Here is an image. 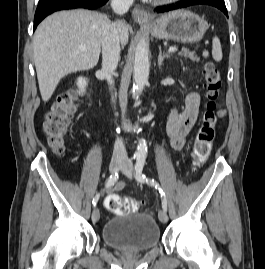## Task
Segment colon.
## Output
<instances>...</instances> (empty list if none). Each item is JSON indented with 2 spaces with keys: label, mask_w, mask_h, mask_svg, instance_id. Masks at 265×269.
I'll return each mask as SVG.
<instances>
[{
  "label": "colon",
  "mask_w": 265,
  "mask_h": 269,
  "mask_svg": "<svg viewBox=\"0 0 265 269\" xmlns=\"http://www.w3.org/2000/svg\"><path fill=\"white\" fill-rule=\"evenodd\" d=\"M204 76L207 104L192 150V160L195 166L202 165L211 152L218 121L217 99L222 85L220 72L212 62L204 65ZM77 102L76 92L62 94L45 115L43 133L50 147L57 153L65 149L68 126L76 110ZM105 206L111 212L128 214L138 209L139 202L133 198L111 194L106 198Z\"/></svg>",
  "instance_id": "5ec220e1"
}]
</instances>
